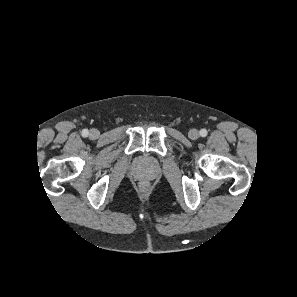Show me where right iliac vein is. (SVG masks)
I'll list each match as a JSON object with an SVG mask.
<instances>
[{"mask_svg":"<svg viewBox=\"0 0 297 297\" xmlns=\"http://www.w3.org/2000/svg\"><path fill=\"white\" fill-rule=\"evenodd\" d=\"M100 133L97 129H91L89 132V137L91 139H97L99 137Z\"/></svg>","mask_w":297,"mask_h":297,"instance_id":"obj_1","label":"right iliac vein"}]
</instances>
